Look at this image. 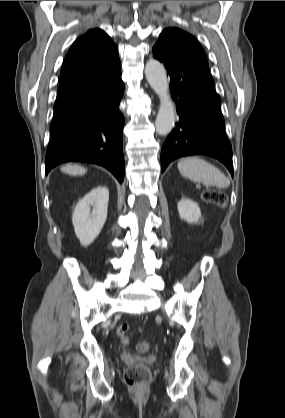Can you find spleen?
Here are the masks:
<instances>
[{"mask_svg":"<svg viewBox=\"0 0 285 418\" xmlns=\"http://www.w3.org/2000/svg\"><path fill=\"white\" fill-rule=\"evenodd\" d=\"M177 167L184 177L206 186L224 189L230 185V180L217 167L199 157L184 158Z\"/></svg>","mask_w":285,"mask_h":418,"instance_id":"3e777b00","label":"spleen"}]
</instances>
